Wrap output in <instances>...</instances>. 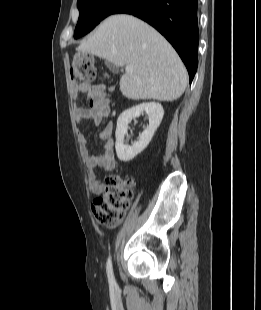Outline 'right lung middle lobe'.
Here are the masks:
<instances>
[{"instance_id":"dd1d6c3e","label":"right lung middle lobe","mask_w":261,"mask_h":310,"mask_svg":"<svg viewBox=\"0 0 261 310\" xmlns=\"http://www.w3.org/2000/svg\"><path fill=\"white\" fill-rule=\"evenodd\" d=\"M126 0H78L80 15L74 38L90 32L101 20L111 15Z\"/></svg>"}]
</instances>
